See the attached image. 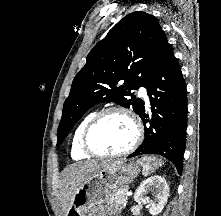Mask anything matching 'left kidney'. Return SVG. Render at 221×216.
Returning a JSON list of instances; mask_svg holds the SVG:
<instances>
[{
  "label": "left kidney",
  "instance_id": "obj_1",
  "mask_svg": "<svg viewBox=\"0 0 221 216\" xmlns=\"http://www.w3.org/2000/svg\"><path fill=\"white\" fill-rule=\"evenodd\" d=\"M149 191L153 192L154 199L147 196ZM169 196V186L166 180L159 176H151L145 179L134 194V201L147 204L152 216L158 215L164 208Z\"/></svg>",
  "mask_w": 221,
  "mask_h": 216
}]
</instances>
